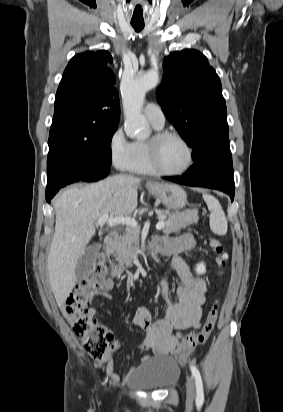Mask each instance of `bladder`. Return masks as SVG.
<instances>
[{
    "label": "bladder",
    "mask_w": 283,
    "mask_h": 412,
    "mask_svg": "<svg viewBox=\"0 0 283 412\" xmlns=\"http://www.w3.org/2000/svg\"><path fill=\"white\" fill-rule=\"evenodd\" d=\"M180 368L170 357L146 361L128 375L130 387L145 390L164 389L177 382Z\"/></svg>",
    "instance_id": "31cf9c89"
}]
</instances>
